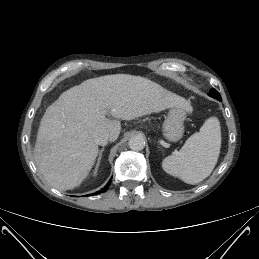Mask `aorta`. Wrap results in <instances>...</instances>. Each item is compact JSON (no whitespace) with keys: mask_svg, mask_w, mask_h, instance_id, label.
<instances>
[{"mask_svg":"<svg viewBox=\"0 0 259 259\" xmlns=\"http://www.w3.org/2000/svg\"><path fill=\"white\" fill-rule=\"evenodd\" d=\"M129 148L134 151H141L145 147V140L141 136H133L128 142Z\"/></svg>","mask_w":259,"mask_h":259,"instance_id":"762f6f07","label":"aorta"}]
</instances>
